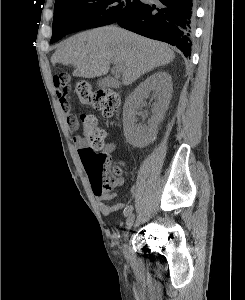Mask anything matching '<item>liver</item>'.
Masks as SVG:
<instances>
[{"label":"liver","instance_id":"obj_1","mask_svg":"<svg viewBox=\"0 0 245 300\" xmlns=\"http://www.w3.org/2000/svg\"><path fill=\"white\" fill-rule=\"evenodd\" d=\"M175 54L165 43L116 26L79 33L64 41L51 57L53 65H73V76L106 75L110 64L122 72V84L131 85L145 73L173 61Z\"/></svg>","mask_w":245,"mask_h":300}]
</instances>
